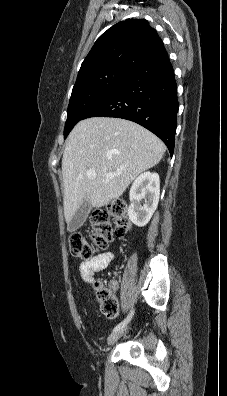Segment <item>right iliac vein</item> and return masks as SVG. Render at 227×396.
Wrapping results in <instances>:
<instances>
[{"mask_svg": "<svg viewBox=\"0 0 227 396\" xmlns=\"http://www.w3.org/2000/svg\"><path fill=\"white\" fill-rule=\"evenodd\" d=\"M126 327L122 328L118 331L113 332L107 339V344L108 346H111L112 344H114L120 337H122V335L124 334V332L126 331Z\"/></svg>", "mask_w": 227, "mask_h": 396, "instance_id": "right-iliac-vein-1", "label": "right iliac vein"}]
</instances>
